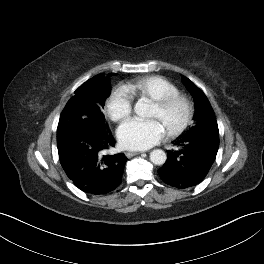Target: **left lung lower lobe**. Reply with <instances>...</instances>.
<instances>
[{
	"mask_svg": "<svg viewBox=\"0 0 264 264\" xmlns=\"http://www.w3.org/2000/svg\"><path fill=\"white\" fill-rule=\"evenodd\" d=\"M178 150H168L158 170L168 185L184 189L199 184L208 174L219 148V134L200 132L177 140Z\"/></svg>",
	"mask_w": 264,
	"mask_h": 264,
	"instance_id": "obj_1",
	"label": "left lung lower lobe"
}]
</instances>
